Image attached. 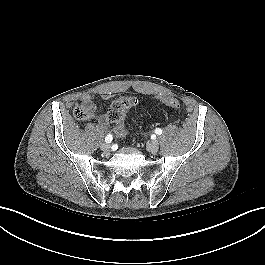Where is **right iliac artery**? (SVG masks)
<instances>
[{
	"label": "right iliac artery",
	"instance_id": "1",
	"mask_svg": "<svg viewBox=\"0 0 265 265\" xmlns=\"http://www.w3.org/2000/svg\"><path fill=\"white\" fill-rule=\"evenodd\" d=\"M113 137L111 134L107 135L106 138H105V142L106 143H110L112 141Z\"/></svg>",
	"mask_w": 265,
	"mask_h": 265
}]
</instances>
